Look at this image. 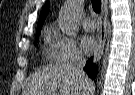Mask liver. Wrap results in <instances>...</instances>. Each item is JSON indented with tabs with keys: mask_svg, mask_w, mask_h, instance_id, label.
Listing matches in <instances>:
<instances>
[{
	"mask_svg": "<svg viewBox=\"0 0 135 95\" xmlns=\"http://www.w3.org/2000/svg\"><path fill=\"white\" fill-rule=\"evenodd\" d=\"M93 88L90 79L84 81L68 64H54L31 76L24 95H91Z\"/></svg>",
	"mask_w": 135,
	"mask_h": 95,
	"instance_id": "obj_1",
	"label": "liver"
}]
</instances>
